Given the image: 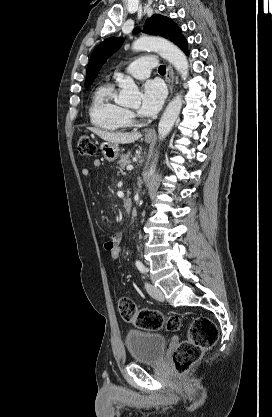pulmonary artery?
<instances>
[{"mask_svg":"<svg viewBox=\"0 0 272 417\" xmlns=\"http://www.w3.org/2000/svg\"><path fill=\"white\" fill-rule=\"evenodd\" d=\"M156 59L151 55L142 56L133 61L125 70V73L136 79H145L150 75L151 70L156 67ZM124 72H116V77H122Z\"/></svg>","mask_w":272,"mask_h":417,"instance_id":"pulmonary-artery-1","label":"pulmonary artery"}]
</instances>
